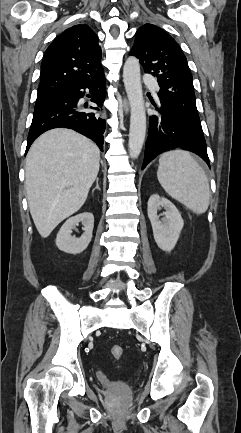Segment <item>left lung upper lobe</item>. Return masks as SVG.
<instances>
[{
  "instance_id": "5c2ea615",
  "label": "left lung upper lobe",
  "mask_w": 241,
  "mask_h": 433,
  "mask_svg": "<svg viewBox=\"0 0 241 433\" xmlns=\"http://www.w3.org/2000/svg\"><path fill=\"white\" fill-rule=\"evenodd\" d=\"M146 73L156 76L160 102L172 108L186 123L203 133L195 102L193 79L177 42L161 28L145 24L136 32L130 51Z\"/></svg>"
}]
</instances>
